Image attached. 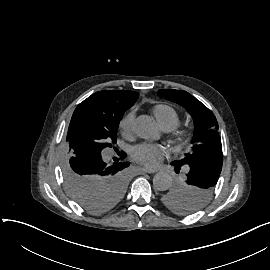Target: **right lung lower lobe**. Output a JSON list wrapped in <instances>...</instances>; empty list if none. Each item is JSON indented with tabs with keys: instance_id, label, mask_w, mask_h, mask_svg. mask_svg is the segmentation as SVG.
Instances as JSON below:
<instances>
[{
	"instance_id": "obj_1",
	"label": "right lung lower lobe",
	"mask_w": 270,
	"mask_h": 270,
	"mask_svg": "<svg viewBox=\"0 0 270 270\" xmlns=\"http://www.w3.org/2000/svg\"><path fill=\"white\" fill-rule=\"evenodd\" d=\"M115 157H117V156H115ZM104 163H105V162H104ZM114 163H115V162H114ZM114 163H113V164H114ZM105 164H106V163H105ZM113 164L110 165V167L107 166V164H106V167H109V168H114V167H116V168L121 169L122 167H125V168H126V167L129 166V163H128V162H122V160H120L119 163H118L119 165H121V167L115 166V165H113ZM121 171H122V170H120L119 172H121ZM119 172H118L117 174H120Z\"/></svg>"
}]
</instances>
